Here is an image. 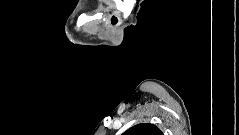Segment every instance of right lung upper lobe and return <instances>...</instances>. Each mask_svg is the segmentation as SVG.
Segmentation results:
<instances>
[{
  "label": "right lung upper lobe",
  "instance_id": "right-lung-upper-lobe-1",
  "mask_svg": "<svg viewBox=\"0 0 239 135\" xmlns=\"http://www.w3.org/2000/svg\"><path fill=\"white\" fill-rule=\"evenodd\" d=\"M123 135H163V133L153 124L142 123L131 127Z\"/></svg>",
  "mask_w": 239,
  "mask_h": 135
}]
</instances>
